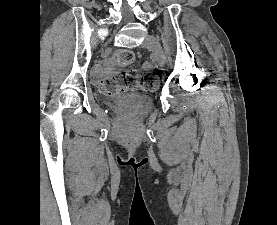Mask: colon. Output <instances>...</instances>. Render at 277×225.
Returning <instances> with one entry per match:
<instances>
[{
	"mask_svg": "<svg viewBox=\"0 0 277 225\" xmlns=\"http://www.w3.org/2000/svg\"><path fill=\"white\" fill-rule=\"evenodd\" d=\"M135 60V53L131 50L120 49L116 51L111 63L117 69L131 65ZM158 74L154 69L142 72L135 70L116 72L105 77L99 84V92L104 95H115L123 91L135 90L140 87L147 92H153L158 87Z\"/></svg>",
	"mask_w": 277,
	"mask_h": 225,
	"instance_id": "colon-1",
	"label": "colon"
}]
</instances>
